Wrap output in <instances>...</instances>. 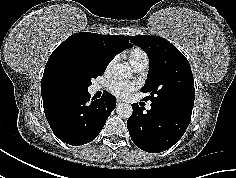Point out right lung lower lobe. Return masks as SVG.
Listing matches in <instances>:
<instances>
[{
	"instance_id": "98d812e1",
	"label": "right lung lower lobe",
	"mask_w": 236,
	"mask_h": 178,
	"mask_svg": "<svg viewBox=\"0 0 236 178\" xmlns=\"http://www.w3.org/2000/svg\"><path fill=\"white\" fill-rule=\"evenodd\" d=\"M43 107L53 133L64 143L79 146L97 137L116 101L108 92L90 100L87 91L43 98Z\"/></svg>"
}]
</instances>
